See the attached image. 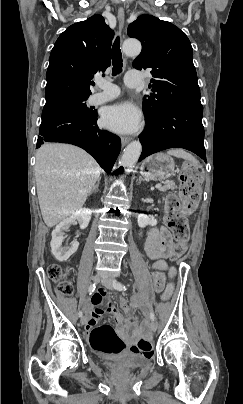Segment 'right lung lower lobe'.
Here are the masks:
<instances>
[{"label":"right lung lower lobe","instance_id":"right-lung-lower-lobe-1","mask_svg":"<svg viewBox=\"0 0 243 404\" xmlns=\"http://www.w3.org/2000/svg\"><path fill=\"white\" fill-rule=\"evenodd\" d=\"M36 148L44 142H61L79 146L92 155L110 173L121 149L120 138L97 126V113L65 112L42 121Z\"/></svg>","mask_w":243,"mask_h":404}]
</instances>
